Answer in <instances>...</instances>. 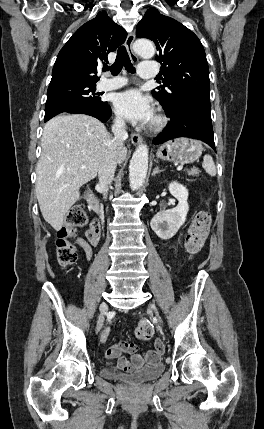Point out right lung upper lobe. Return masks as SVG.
Listing matches in <instances>:
<instances>
[{
    "instance_id": "right-lung-upper-lobe-1",
    "label": "right lung upper lobe",
    "mask_w": 264,
    "mask_h": 429,
    "mask_svg": "<svg viewBox=\"0 0 264 429\" xmlns=\"http://www.w3.org/2000/svg\"><path fill=\"white\" fill-rule=\"evenodd\" d=\"M125 30L101 11L82 25L60 50L49 88L66 84H95L97 67L126 39Z\"/></svg>"
}]
</instances>
